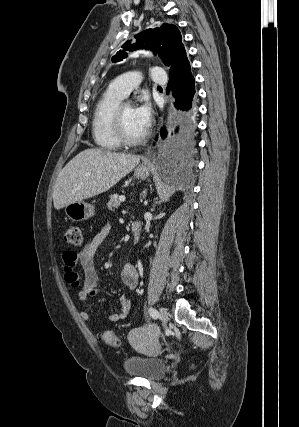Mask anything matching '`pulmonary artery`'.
I'll return each instance as SVG.
<instances>
[{
	"mask_svg": "<svg viewBox=\"0 0 299 427\" xmlns=\"http://www.w3.org/2000/svg\"><path fill=\"white\" fill-rule=\"evenodd\" d=\"M151 75L152 79L157 83L164 84L166 82L165 71L159 66L153 68ZM140 82L141 75L138 72L131 71L119 75L112 81L110 86L123 97H126Z\"/></svg>",
	"mask_w": 299,
	"mask_h": 427,
	"instance_id": "obj_1",
	"label": "pulmonary artery"
}]
</instances>
